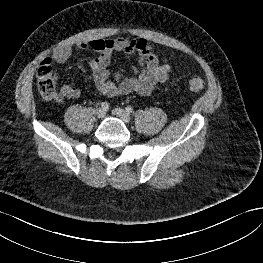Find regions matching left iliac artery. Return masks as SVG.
Wrapping results in <instances>:
<instances>
[{"mask_svg": "<svg viewBox=\"0 0 263 263\" xmlns=\"http://www.w3.org/2000/svg\"><path fill=\"white\" fill-rule=\"evenodd\" d=\"M126 111H127L128 113H132V112H133V108H132L131 106H127V107H126Z\"/></svg>", "mask_w": 263, "mask_h": 263, "instance_id": "obj_1", "label": "left iliac artery"}]
</instances>
